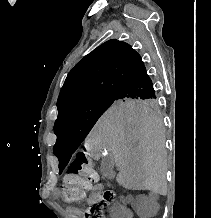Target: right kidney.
Instances as JSON below:
<instances>
[{"instance_id":"obj_1","label":"right kidney","mask_w":211,"mask_h":218,"mask_svg":"<svg viewBox=\"0 0 211 218\" xmlns=\"http://www.w3.org/2000/svg\"><path fill=\"white\" fill-rule=\"evenodd\" d=\"M120 198H124V201H116V206L110 207V216L114 218H129L130 210L127 206H130V202H134V197H127V193H120Z\"/></svg>"}]
</instances>
